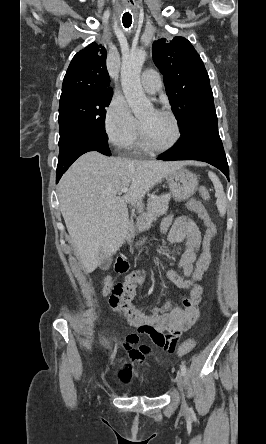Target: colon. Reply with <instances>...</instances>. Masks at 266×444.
Masks as SVG:
<instances>
[{
  "label": "colon",
  "instance_id": "5ec220e1",
  "mask_svg": "<svg viewBox=\"0 0 266 444\" xmlns=\"http://www.w3.org/2000/svg\"><path fill=\"white\" fill-rule=\"evenodd\" d=\"M198 192L203 199L207 200L209 198L208 191L205 187H199ZM187 207L197 213L199 218L206 226V234L203 240L201 253L194 264L190 276L186 278L185 286L182 288L184 290L191 291V289L200 282L212 261V241L216 236V227L212 223L205 207L199 201L190 199L187 202ZM134 294L135 290L133 283L130 280L125 279L115 284L111 289L109 304L113 309L120 307L137 317L164 315L169 313L172 308L177 306L174 300H167L166 302L156 305L149 310H142L133 305L132 301ZM196 344L197 339L191 338L179 346L177 352L178 354H185L193 349Z\"/></svg>",
  "mask_w": 266,
  "mask_h": 444
}]
</instances>
